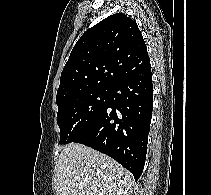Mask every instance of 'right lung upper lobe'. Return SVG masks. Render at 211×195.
Listing matches in <instances>:
<instances>
[{
  "instance_id": "cb5924a9",
  "label": "right lung upper lobe",
  "mask_w": 211,
  "mask_h": 195,
  "mask_svg": "<svg viewBox=\"0 0 211 195\" xmlns=\"http://www.w3.org/2000/svg\"><path fill=\"white\" fill-rule=\"evenodd\" d=\"M151 68L137 23L113 14L88 29L75 44L61 73L57 104L77 94L111 88Z\"/></svg>"
}]
</instances>
